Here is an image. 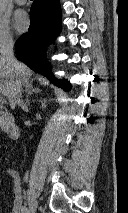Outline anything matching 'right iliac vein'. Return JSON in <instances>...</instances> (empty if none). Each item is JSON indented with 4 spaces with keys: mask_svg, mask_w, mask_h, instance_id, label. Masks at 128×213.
Returning a JSON list of instances; mask_svg holds the SVG:
<instances>
[{
    "mask_svg": "<svg viewBox=\"0 0 128 213\" xmlns=\"http://www.w3.org/2000/svg\"><path fill=\"white\" fill-rule=\"evenodd\" d=\"M38 208V201L34 197V195H30V201H29V211L28 213H35Z\"/></svg>",
    "mask_w": 128,
    "mask_h": 213,
    "instance_id": "obj_1",
    "label": "right iliac vein"
}]
</instances>
